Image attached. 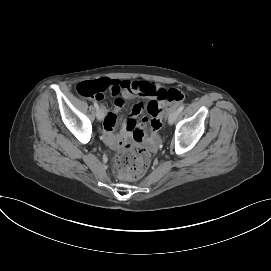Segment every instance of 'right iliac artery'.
<instances>
[{
    "label": "right iliac artery",
    "mask_w": 271,
    "mask_h": 271,
    "mask_svg": "<svg viewBox=\"0 0 271 271\" xmlns=\"http://www.w3.org/2000/svg\"><path fill=\"white\" fill-rule=\"evenodd\" d=\"M94 107H95L96 109H98V108H99V106H98L97 102H94Z\"/></svg>",
    "instance_id": "right-iliac-artery-1"
}]
</instances>
